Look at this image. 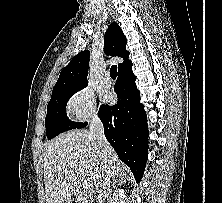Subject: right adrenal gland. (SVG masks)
Segmentation results:
<instances>
[{
  "mask_svg": "<svg viewBox=\"0 0 222 203\" xmlns=\"http://www.w3.org/2000/svg\"><path fill=\"white\" fill-rule=\"evenodd\" d=\"M125 179H126V177H124V175H121V174H120V175L117 176V178L114 180V182H113V184H112V187L115 188L117 182H120V183L125 182Z\"/></svg>",
  "mask_w": 222,
  "mask_h": 203,
  "instance_id": "right-adrenal-gland-1",
  "label": "right adrenal gland"
}]
</instances>
